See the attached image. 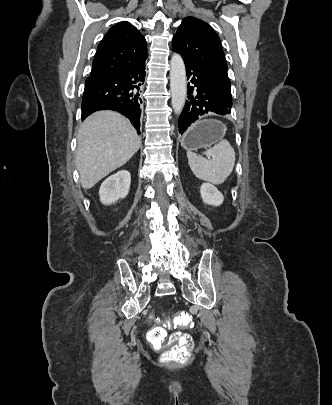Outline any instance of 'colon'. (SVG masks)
Wrapping results in <instances>:
<instances>
[{
	"label": "colon",
	"instance_id": "1",
	"mask_svg": "<svg viewBox=\"0 0 332 405\" xmlns=\"http://www.w3.org/2000/svg\"><path fill=\"white\" fill-rule=\"evenodd\" d=\"M173 321L178 326L183 328H191L193 326V320L189 313L185 311H179L173 314ZM162 327H169V320L161 321ZM162 327H156L149 333V340L156 346H161L167 340V332ZM171 343H174L172 349L165 353V359L170 361H184L187 360L193 351L194 342L189 334L175 332L172 333L169 338Z\"/></svg>",
	"mask_w": 332,
	"mask_h": 405
}]
</instances>
